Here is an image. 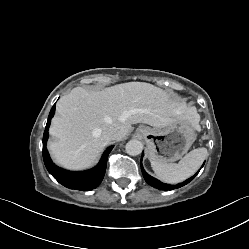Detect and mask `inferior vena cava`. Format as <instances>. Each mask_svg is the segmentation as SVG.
<instances>
[{"mask_svg":"<svg viewBox=\"0 0 249 249\" xmlns=\"http://www.w3.org/2000/svg\"><path fill=\"white\" fill-rule=\"evenodd\" d=\"M104 137L107 140H114L118 137V132L113 128H108L104 131Z\"/></svg>","mask_w":249,"mask_h":249,"instance_id":"602c4592","label":"inferior vena cava"}]
</instances>
